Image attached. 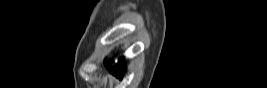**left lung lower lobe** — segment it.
Here are the masks:
<instances>
[{
	"mask_svg": "<svg viewBox=\"0 0 267 88\" xmlns=\"http://www.w3.org/2000/svg\"><path fill=\"white\" fill-rule=\"evenodd\" d=\"M123 61L124 60L122 58L115 67H109V65H107L110 73H112L113 75H115L118 78H122L124 73H125V67L123 66Z\"/></svg>",
	"mask_w": 267,
	"mask_h": 88,
	"instance_id": "obj_1",
	"label": "left lung lower lobe"
}]
</instances>
